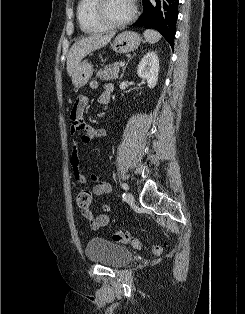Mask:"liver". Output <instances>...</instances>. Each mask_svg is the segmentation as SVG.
<instances>
[{
    "label": "liver",
    "instance_id": "liver-1",
    "mask_svg": "<svg viewBox=\"0 0 245 314\" xmlns=\"http://www.w3.org/2000/svg\"><path fill=\"white\" fill-rule=\"evenodd\" d=\"M115 35L114 32L109 34H94L76 41L67 56V73L72 76L81 60L89 53L106 46Z\"/></svg>",
    "mask_w": 245,
    "mask_h": 314
}]
</instances>
